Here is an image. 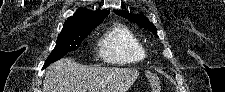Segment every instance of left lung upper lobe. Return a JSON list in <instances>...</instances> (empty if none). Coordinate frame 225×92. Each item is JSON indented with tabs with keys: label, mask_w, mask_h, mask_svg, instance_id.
<instances>
[{
	"label": "left lung upper lobe",
	"mask_w": 225,
	"mask_h": 92,
	"mask_svg": "<svg viewBox=\"0 0 225 92\" xmlns=\"http://www.w3.org/2000/svg\"><path fill=\"white\" fill-rule=\"evenodd\" d=\"M114 12L117 15H120L133 23H136L137 25H139L142 28H147L149 31H151L154 35L157 36L156 27L143 14H132V13L127 12L126 10L125 11L114 10Z\"/></svg>",
	"instance_id": "left-lung-upper-lobe-1"
}]
</instances>
